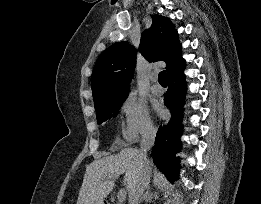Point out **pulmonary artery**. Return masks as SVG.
<instances>
[{"label":"pulmonary artery","instance_id":"1","mask_svg":"<svg viewBox=\"0 0 261 204\" xmlns=\"http://www.w3.org/2000/svg\"><path fill=\"white\" fill-rule=\"evenodd\" d=\"M153 84L151 86V91L156 95H161L163 93V88L158 84L157 77L152 78Z\"/></svg>","mask_w":261,"mask_h":204}]
</instances>
